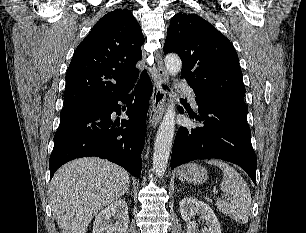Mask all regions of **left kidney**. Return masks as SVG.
I'll return each mask as SVG.
<instances>
[{"label":"left kidney","mask_w":306,"mask_h":233,"mask_svg":"<svg viewBox=\"0 0 306 233\" xmlns=\"http://www.w3.org/2000/svg\"><path fill=\"white\" fill-rule=\"evenodd\" d=\"M180 213L186 222L187 233H221L220 224L212 208L202 201L186 197L180 202ZM200 214L201 220L205 221L206 226L202 231L196 228V223L191 218Z\"/></svg>","instance_id":"left-kidney-1"}]
</instances>
